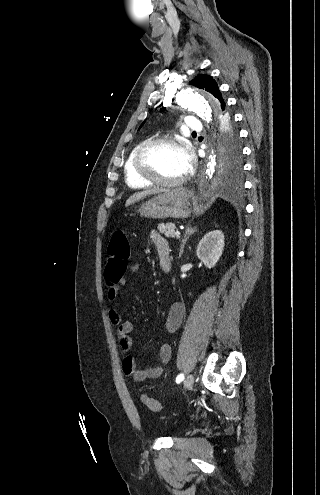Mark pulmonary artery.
I'll return each instance as SVG.
<instances>
[{"mask_svg":"<svg viewBox=\"0 0 320 495\" xmlns=\"http://www.w3.org/2000/svg\"><path fill=\"white\" fill-rule=\"evenodd\" d=\"M186 127L191 131L197 132L202 129V124L197 118L190 116L186 118Z\"/></svg>","mask_w":320,"mask_h":495,"instance_id":"obj_1","label":"pulmonary artery"}]
</instances>
